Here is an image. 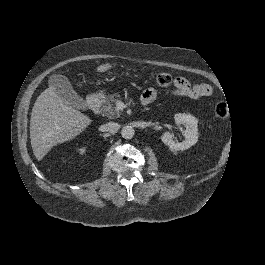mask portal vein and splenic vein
Returning a JSON list of instances; mask_svg holds the SVG:
<instances>
[{
    "mask_svg": "<svg viewBox=\"0 0 265 265\" xmlns=\"http://www.w3.org/2000/svg\"><path fill=\"white\" fill-rule=\"evenodd\" d=\"M117 105L120 106V108H124V103L121 102V101H119V102L117 103Z\"/></svg>",
    "mask_w": 265,
    "mask_h": 265,
    "instance_id": "portal-vein-and-splenic-vein-1",
    "label": "portal vein and splenic vein"
}]
</instances>
